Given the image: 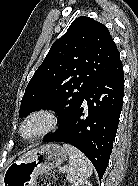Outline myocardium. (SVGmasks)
<instances>
[{
    "label": "myocardium",
    "mask_w": 138,
    "mask_h": 186,
    "mask_svg": "<svg viewBox=\"0 0 138 186\" xmlns=\"http://www.w3.org/2000/svg\"><path fill=\"white\" fill-rule=\"evenodd\" d=\"M38 117L44 118L46 120V124L44 128L32 136H25L24 135L25 127L29 124L30 121ZM58 123H59V117L55 112L49 109H38L33 112H30L23 119L19 128V136L24 141H35L53 132L57 128Z\"/></svg>",
    "instance_id": "f54148a6"
}]
</instances>
